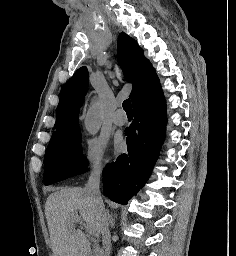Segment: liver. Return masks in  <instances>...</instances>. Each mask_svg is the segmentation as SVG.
I'll return each mask as SVG.
<instances>
[{"mask_svg":"<svg viewBox=\"0 0 236 256\" xmlns=\"http://www.w3.org/2000/svg\"><path fill=\"white\" fill-rule=\"evenodd\" d=\"M77 212L94 234H100L108 220L105 210L83 188H66L48 196L45 216L54 256H90L89 240L73 226L72 216Z\"/></svg>","mask_w":236,"mask_h":256,"instance_id":"1","label":"liver"}]
</instances>
